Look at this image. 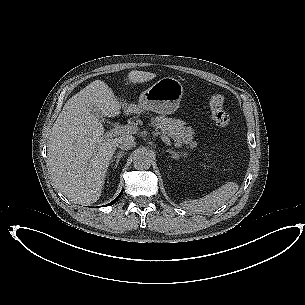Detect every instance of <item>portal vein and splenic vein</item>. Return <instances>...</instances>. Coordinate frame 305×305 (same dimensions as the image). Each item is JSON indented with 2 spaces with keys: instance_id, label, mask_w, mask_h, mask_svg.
<instances>
[{
  "instance_id": "1",
  "label": "portal vein and splenic vein",
  "mask_w": 305,
  "mask_h": 305,
  "mask_svg": "<svg viewBox=\"0 0 305 305\" xmlns=\"http://www.w3.org/2000/svg\"><path fill=\"white\" fill-rule=\"evenodd\" d=\"M134 130L133 127H129V126H119L116 127L114 129L111 130L110 135H120L123 133H129L132 132Z\"/></svg>"
}]
</instances>
